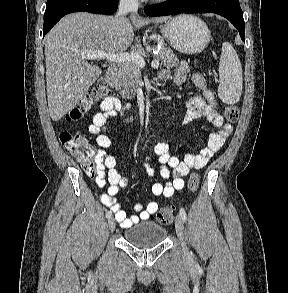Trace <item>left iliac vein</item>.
I'll return each mask as SVG.
<instances>
[{"mask_svg":"<svg viewBox=\"0 0 288 293\" xmlns=\"http://www.w3.org/2000/svg\"><path fill=\"white\" fill-rule=\"evenodd\" d=\"M175 227H176L177 235L182 243L184 253L187 255L188 248H187L185 236H184V223L180 215H178L175 219Z\"/></svg>","mask_w":288,"mask_h":293,"instance_id":"4c4485c4","label":"left iliac vein"}]
</instances>
